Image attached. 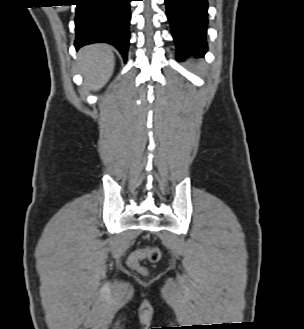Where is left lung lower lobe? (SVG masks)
<instances>
[{
  "instance_id": "left-lung-lower-lobe-1",
  "label": "left lung lower lobe",
  "mask_w": 304,
  "mask_h": 329,
  "mask_svg": "<svg viewBox=\"0 0 304 329\" xmlns=\"http://www.w3.org/2000/svg\"><path fill=\"white\" fill-rule=\"evenodd\" d=\"M178 60L207 51V0H165Z\"/></svg>"
}]
</instances>
